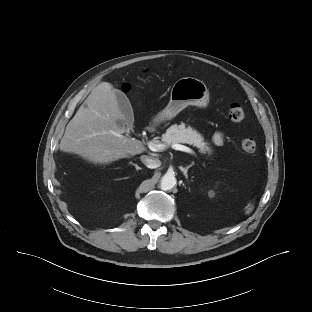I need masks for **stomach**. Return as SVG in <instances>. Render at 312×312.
I'll return each mask as SVG.
<instances>
[{
	"label": "stomach",
	"instance_id": "0dacf381",
	"mask_svg": "<svg viewBox=\"0 0 312 312\" xmlns=\"http://www.w3.org/2000/svg\"><path fill=\"white\" fill-rule=\"evenodd\" d=\"M209 101V92L203 81L193 77L180 78L172 86L168 105L157 114L154 123L172 119L189 105L206 108Z\"/></svg>",
	"mask_w": 312,
	"mask_h": 312
}]
</instances>
